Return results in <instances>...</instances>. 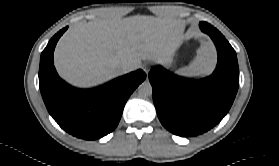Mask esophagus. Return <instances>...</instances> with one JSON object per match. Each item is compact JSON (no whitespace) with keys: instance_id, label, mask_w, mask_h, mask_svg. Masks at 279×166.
Masks as SVG:
<instances>
[{"instance_id":"esophagus-1","label":"esophagus","mask_w":279,"mask_h":166,"mask_svg":"<svg viewBox=\"0 0 279 166\" xmlns=\"http://www.w3.org/2000/svg\"><path fill=\"white\" fill-rule=\"evenodd\" d=\"M143 70H144V72L147 74V77H148V73H149V71H150V66L145 64V65L143 66Z\"/></svg>"}]
</instances>
